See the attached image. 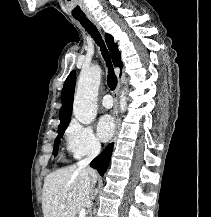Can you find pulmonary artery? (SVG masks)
<instances>
[{
    "instance_id": "pulmonary-artery-1",
    "label": "pulmonary artery",
    "mask_w": 211,
    "mask_h": 217,
    "mask_svg": "<svg viewBox=\"0 0 211 217\" xmlns=\"http://www.w3.org/2000/svg\"><path fill=\"white\" fill-rule=\"evenodd\" d=\"M101 104L104 108L106 109H110L113 106V100L112 97L110 95H104L102 100H101Z\"/></svg>"
}]
</instances>
